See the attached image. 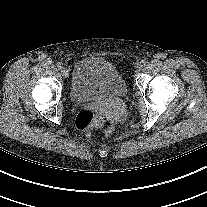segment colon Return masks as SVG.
Returning a JSON list of instances; mask_svg holds the SVG:
<instances>
[{
  "instance_id": "colon-1",
  "label": "colon",
  "mask_w": 207,
  "mask_h": 207,
  "mask_svg": "<svg viewBox=\"0 0 207 207\" xmlns=\"http://www.w3.org/2000/svg\"><path fill=\"white\" fill-rule=\"evenodd\" d=\"M104 122L105 119L102 115L95 114L90 110H82L75 119L76 126L85 132H89L95 127L102 126Z\"/></svg>"
}]
</instances>
